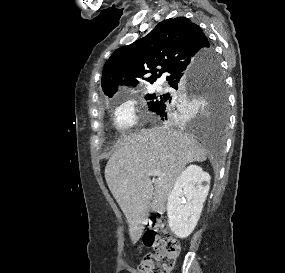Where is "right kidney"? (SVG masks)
<instances>
[{"label": "right kidney", "instance_id": "ca27d5eb", "mask_svg": "<svg viewBox=\"0 0 285 273\" xmlns=\"http://www.w3.org/2000/svg\"><path fill=\"white\" fill-rule=\"evenodd\" d=\"M210 179L197 165L188 166L177 178L167 202L169 227L177 237H188L197 225Z\"/></svg>", "mask_w": 285, "mask_h": 273}]
</instances>
